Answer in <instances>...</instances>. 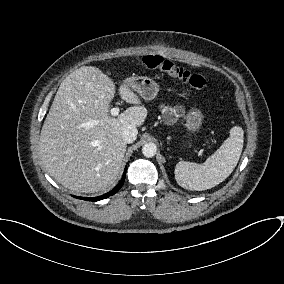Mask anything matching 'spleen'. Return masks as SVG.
I'll list each match as a JSON object with an SVG mask.
<instances>
[{"label":"spleen","mask_w":284,"mask_h":284,"mask_svg":"<svg viewBox=\"0 0 284 284\" xmlns=\"http://www.w3.org/2000/svg\"><path fill=\"white\" fill-rule=\"evenodd\" d=\"M230 136L203 164L180 161L175 167L177 183L190 190H207L223 182L235 169L243 148L244 131L230 129Z\"/></svg>","instance_id":"3e777b00"}]
</instances>
